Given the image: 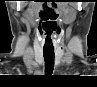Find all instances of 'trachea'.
<instances>
[{"label": "trachea", "instance_id": "obj_1", "mask_svg": "<svg viewBox=\"0 0 97 87\" xmlns=\"http://www.w3.org/2000/svg\"><path fill=\"white\" fill-rule=\"evenodd\" d=\"M44 61H45V74L51 75L54 69V51L53 50H44Z\"/></svg>", "mask_w": 97, "mask_h": 87}]
</instances>
